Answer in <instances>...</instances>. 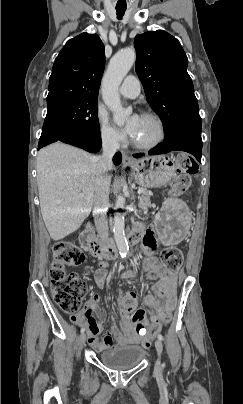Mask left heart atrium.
Instances as JSON below:
<instances>
[{"label": "left heart atrium", "mask_w": 243, "mask_h": 404, "mask_svg": "<svg viewBox=\"0 0 243 404\" xmlns=\"http://www.w3.org/2000/svg\"><path fill=\"white\" fill-rule=\"evenodd\" d=\"M141 116L138 114H133L127 124L125 125L124 131L130 136L134 137L136 134L139 124H140Z\"/></svg>", "instance_id": "left-heart-atrium-1"}]
</instances>
